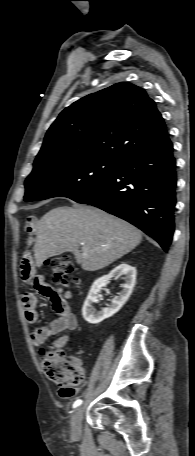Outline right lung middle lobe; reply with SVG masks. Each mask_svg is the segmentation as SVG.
Here are the masks:
<instances>
[{
    "instance_id": "right-lung-middle-lobe-1",
    "label": "right lung middle lobe",
    "mask_w": 195,
    "mask_h": 456,
    "mask_svg": "<svg viewBox=\"0 0 195 456\" xmlns=\"http://www.w3.org/2000/svg\"><path fill=\"white\" fill-rule=\"evenodd\" d=\"M118 165V161L101 157H70L40 163L25 181V201L74 199L102 184Z\"/></svg>"
}]
</instances>
